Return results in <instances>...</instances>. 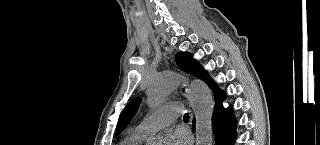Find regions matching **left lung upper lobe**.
<instances>
[{
  "label": "left lung upper lobe",
  "mask_w": 320,
  "mask_h": 145,
  "mask_svg": "<svg viewBox=\"0 0 320 145\" xmlns=\"http://www.w3.org/2000/svg\"><path fill=\"white\" fill-rule=\"evenodd\" d=\"M177 65L187 73L197 77L202 71L200 64L193 59L190 53L178 52L175 57ZM141 102L140 98L134 99L129 103L123 110L122 114L119 117L118 124L116 127V135H119L123 129L129 124L133 116L135 115L138 106Z\"/></svg>",
  "instance_id": "1"
}]
</instances>
